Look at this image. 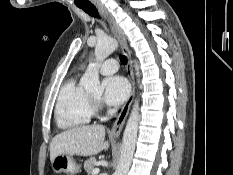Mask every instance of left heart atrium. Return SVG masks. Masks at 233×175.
I'll use <instances>...</instances> for the list:
<instances>
[{
	"instance_id": "obj_1",
	"label": "left heart atrium",
	"mask_w": 233,
	"mask_h": 175,
	"mask_svg": "<svg viewBox=\"0 0 233 175\" xmlns=\"http://www.w3.org/2000/svg\"><path fill=\"white\" fill-rule=\"evenodd\" d=\"M104 100L111 105H120L129 96L130 87L125 78L114 75L104 80Z\"/></svg>"
}]
</instances>
